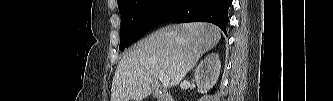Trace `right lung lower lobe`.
Returning a JSON list of instances; mask_svg holds the SVG:
<instances>
[{
	"label": "right lung lower lobe",
	"instance_id": "98d812e1",
	"mask_svg": "<svg viewBox=\"0 0 333 101\" xmlns=\"http://www.w3.org/2000/svg\"><path fill=\"white\" fill-rule=\"evenodd\" d=\"M231 3L232 0H171L162 23L168 19L175 23L210 22L226 33Z\"/></svg>",
	"mask_w": 333,
	"mask_h": 101
}]
</instances>
